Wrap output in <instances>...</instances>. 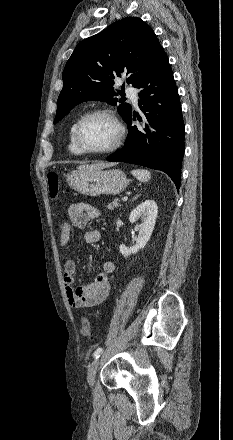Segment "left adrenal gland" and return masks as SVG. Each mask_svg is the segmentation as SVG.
I'll list each match as a JSON object with an SVG mask.
<instances>
[{
    "mask_svg": "<svg viewBox=\"0 0 233 440\" xmlns=\"http://www.w3.org/2000/svg\"><path fill=\"white\" fill-rule=\"evenodd\" d=\"M139 196H140V194L136 195V196L133 198L132 202H133L134 200H136Z\"/></svg>",
    "mask_w": 233,
    "mask_h": 440,
    "instance_id": "a2214340",
    "label": "left adrenal gland"
}]
</instances>
